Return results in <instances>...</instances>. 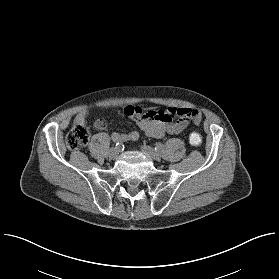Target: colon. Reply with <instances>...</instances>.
<instances>
[{"mask_svg":"<svg viewBox=\"0 0 279 279\" xmlns=\"http://www.w3.org/2000/svg\"><path fill=\"white\" fill-rule=\"evenodd\" d=\"M90 139V131L85 124L74 125L66 137V143L71 150L83 148ZM189 142L193 146H198L202 142V135L199 131H192L189 134Z\"/></svg>","mask_w":279,"mask_h":279,"instance_id":"obj_1","label":"colon"}]
</instances>
